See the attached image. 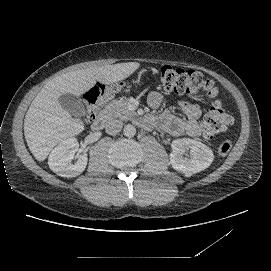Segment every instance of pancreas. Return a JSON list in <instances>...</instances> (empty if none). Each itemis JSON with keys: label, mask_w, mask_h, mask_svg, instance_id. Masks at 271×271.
<instances>
[{"label": "pancreas", "mask_w": 271, "mask_h": 271, "mask_svg": "<svg viewBox=\"0 0 271 271\" xmlns=\"http://www.w3.org/2000/svg\"><path fill=\"white\" fill-rule=\"evenodd\" d=\"M127 100H112L105 109L108 111L109 115L114 118H119L121 120H129L135 112L129 111L127 109Z\"/></svg>", "instance_id": "pancreas-1"}]
</instances>
